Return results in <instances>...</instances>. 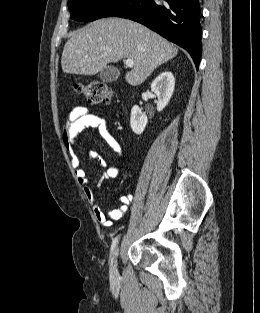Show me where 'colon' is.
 <instances>
[{
	"instance_id": "5ec220e1",
	"label": "colon",
	"mask_w": 260,
	"mask_h": 313,
	"mask_svg": "<svg viewBox=\"0 0 260 313\" xmlns=\"http://www.w3.org/2000/svg\"><path fill=\"white\" fill-rule=\"evenodd\" d=\"M74 90L91 104L107 103L113 97L111 89L106 84L98 81L78 83L74 86Z\"/></svg>"
}]
</instances>
